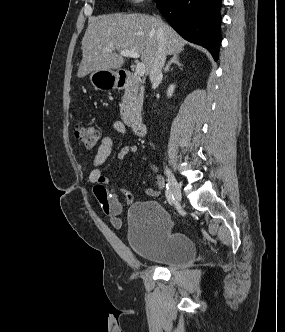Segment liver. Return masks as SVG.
<instances>
[{
	"label": "liver",
	"mask_w": 285,
	"mask_h": 332,
	"mask_svg": "<svg viewBox=\"0 0 285 332\" xmlns=\"http://www.w3.org/2000/svg\"><path fill=\"white\" fill-rule=\"evenodd\" d=\"M162 39L167 54L183 51L184 39L157 17L117 13L92 18L82 39V60L77 76L83 78L96 70L121 68L125 62L124 56L119 54L121 50L138 52L149 74Z\"/></svg>",
	"instance_id": "liver-1"
}]
</instances>
